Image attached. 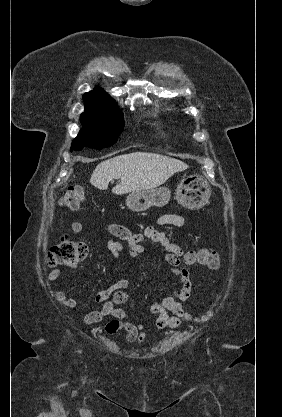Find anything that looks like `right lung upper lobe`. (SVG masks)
Wrapping results in <instances>:
<instances>
[{
	"instance_id": "1",
	"label": "right lung upper lobe",
	"mask_w": 282,
	"mask_h": 417,
	"mask_svg": "<svg viewBox=\"0 0 282 417\" xmlns=\"http://www.w3.org/2000/svg\"><path fill=\"white\" fill-rule=\"evenodd\" d=\"M83 98L84 100L111 99V97L101 88H95L93 91L85 93Z\"/></svg>"
}]
</instances>
